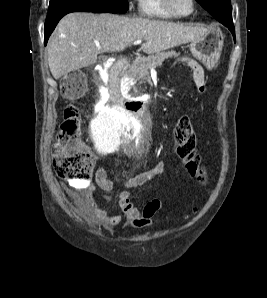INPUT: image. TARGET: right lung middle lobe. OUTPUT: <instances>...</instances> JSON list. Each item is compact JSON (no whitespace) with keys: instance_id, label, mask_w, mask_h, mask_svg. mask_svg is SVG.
I'll return each instance as SVG.
<instances>
[{"instance_id":"right-lung-middle-lobe-1","label":"right lung middle lobe","mask_w":267,"mask_h":298,"mask_svg":"<svg viewBox=\"0 0 267 298\" xmlns=\"http://www.w3.org/2000/svg\"><path fill=\"white\" fill-rule=\"evenodd\" d=\"M128 8L127 0H50L46 22L72 10L125 13Z\"/></svg>"}]
</instances>
